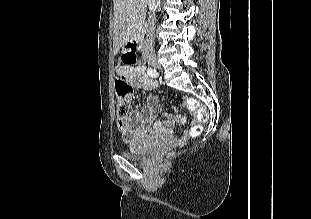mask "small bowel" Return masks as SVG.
Segmentation results:
<instances>
[{
	"mask_svg": "<svg viewBox=\"0 0 311 219\" xmlns=\"http://www.w3.org/2000/svg\"><path fill=\"white\" fill-rule=\"evenodd\" d=\"M119 75H125L134 88L152 90L157 88L158 83L153 77L147 75L141 65L132 67L119 65ZM161 105L154 95H149L146 104L141 109H133L128 115L117 119V127L122 134L123 140L132 143L147 138H174L175 123L184 124L186 118L180 115H168L157 119Z\"/></svg>",
	"mask_w": 311,
	"mask_h": 219,
	"instance_id": "obj_1",
	"label": "small bowel"
}]
</instances>
